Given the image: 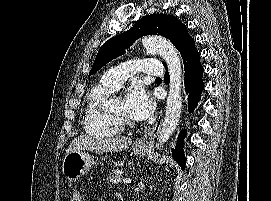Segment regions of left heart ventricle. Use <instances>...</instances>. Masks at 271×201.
I'll list each match as a JSON object with an SVG mask.
<instances>
[{"label":"left heart ventricle","instance_id":"left-heart-ventricle-1","mask_svg":"<svg viewBox=\"0 0 271 201\" xmlns=\"http://www.w3.org/2000/svg\"><path fill=\"white\" fill-rule=\"evenodd\" d=\"M112 109H113L114 112L132 119L127 113V110H126V107H125V104H124V100H122V99L116 100L114 102V105H113Z\"/></svg>","mask_w":271,"mask_h":201}]
</instances>
